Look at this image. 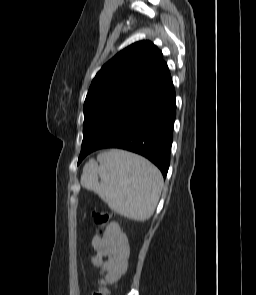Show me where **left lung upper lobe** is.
I'll return each mask as SVG.
<instances>
[{
    "label": "left lung upper lobe",
    "mask_w": 256,
    "mask_h": 295,
    "mask_svg": "<svg viewBox=\"0 0 256 295\" xmlns=\"http://www.w3.org/2000/svg\"><path fill=\"white\" fill-rule=\"evenodd\" d=\"M171 81L161 51L150 41L136 42L115 55L96 74L86 96L81 151Z\"/></svg>",
    "instance_id": "obj_1"
}]
</instances>
